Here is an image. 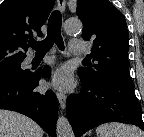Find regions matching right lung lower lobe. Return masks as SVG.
I'll use <instances>...</instances> for the list:
<instances>
[{"instance_id": "right-lung-lower-lobe-1", "label": "right lung lower lobe", "mask_w": 144, "mask_h": 137, "mask_svg": "<svg viewBox=\"0 0 144 137\" xmlns=\"http://www.w3.org/2000/svg\"><path fill=\"white\" fill-rule=\"evenodd\" d=\"M50 75V67L29 71L19 77L0 79V109L22 113L56 136L57 99L52 91L40 93L35 90L42 77Z\"/></svg>"}]
</instances>
